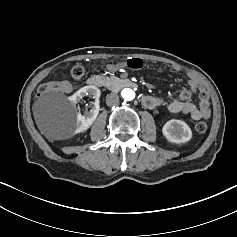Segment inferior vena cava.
Here are the masks:
<instances>
[{"label":"inferior vena cava","mask_w":237,"mask_h":237,"mask_svg":"<svg viewBox=\"0 0 237 237\" xmlns=\"http://www.w3.org/2000/svg\"><path fill=\"white\" fill-rule=\"evenodd\" d=\"M118 102H119V97L117 94L111 93V94L107 95L106 104L108 106H112L114 104H117Z\"/></svg>","instance_id":"1"}]
</instances>
